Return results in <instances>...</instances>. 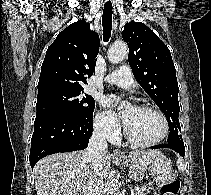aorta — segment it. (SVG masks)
<instances>
[{"label": "aorta", "mask_w": 211, "mask_h": 195, "mask_svg": "<svg viewBox=\"0 0 211 195\" xmlns=\"http://www.w3.org/2000/svg\"><path fill=\"white\" fill-rule=\"evenodd\" d=\"M127 55L128 46L123 42L114 43L108 50V60L113 64L123 61ZM109 195H119V188L115 181L110 184Z\"/></svg>", "instance_id": "1"}]
</instances>
